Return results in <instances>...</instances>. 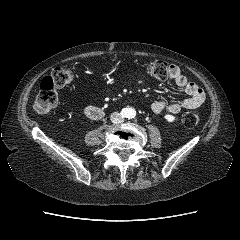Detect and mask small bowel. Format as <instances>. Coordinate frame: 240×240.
Listing matches in <instances>:
<instances>
[{
    "instance_id": "c3829d8e",
    "label": "small bowel",
    "mask_w": 240,
    "mask_h": 240,
    "mask_svg": "<svg viewBox=\"0 0 240 240\" xmlns=\"http://www.w3.org/2000/svg\"><path fill=\"white\" fill-rule=\"evenodd\" d=\"M168 77L177 86L181 87L188 97L175 102H168L166 100L154 101L151 104V111L154 114H178L182 110L197 109L203 104L205 101L204 91L197 84L190 82L176 65H169Z\"/></svg>"
}]
</instances>
